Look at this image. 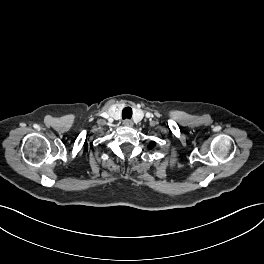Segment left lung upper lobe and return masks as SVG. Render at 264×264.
<instances>
[{
    "instance_id": "left-lung-upper-lobe-1",
    "label": "left lung upper lobe",
    "mask_w": 264,
    "mask_h": 264,
    "mask_svg": "<svg viewBox=\"0 0 264 264\" xmlns=\"http://www.w3.org/2000/svg\"><path fill=\"white\" fill-rule=\"evenodd\" d=\"M155 144H156L155 142H151V143L148 145V148H149V149H152V148L155 146Z\"/></svg>"
}]
</instances>
